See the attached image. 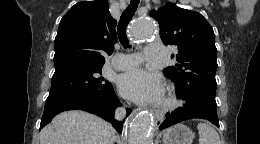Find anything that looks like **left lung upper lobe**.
Returning <instances> with one entry per match:
<instances>
[{
    "mask_svg": "<svg viewBox=\"0 0 260 144\" xmlns=\"http://www.w3.org/2000/svg\"><path fill=\"white\" fill-rule=\"evenodd\" d=\"M150 16L159 23L163 43L178 48L172 56L177 64L163 73L176 84V94L186 101L185 106L216 103L217 49L210 24L200 13L173 3L152 10Z\"/></svg>",
    "mask_w": 260,
    "mask_h": 144,
    "instance_id": "5c2ea615",
    "label": "left lung upper lobe"
}]
</instances>
